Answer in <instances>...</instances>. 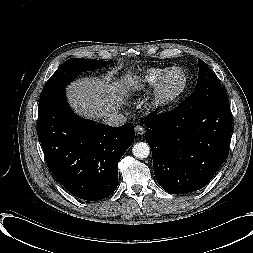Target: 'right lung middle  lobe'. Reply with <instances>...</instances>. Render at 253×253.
<instances>
[{
    "label": "right lung middle lobe",
    "instance_id": "1",
    "mask_svg": "<svg viewBox=\"0 0 253 253\" xmlns=\"http://www.w3.org/2000/svg\"><path fill=\"white\" fill-rule=\"evenodd\" d=\"M108 61L71 58L65 61L46 82L39 101L38 112L43 111L52 100L64 92L65 87L80 72L108 65Z\"/></svg>",
    "mask_w": 253,
    "mask_h": 253
}]
</instances>
